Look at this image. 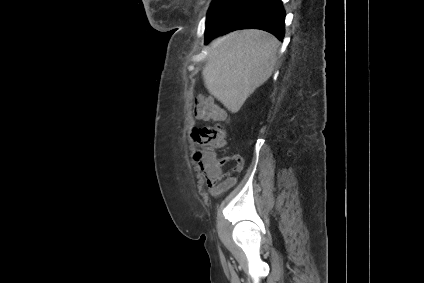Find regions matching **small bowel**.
I'll use <instances>...</instances> for the list:
<instances>
[{
  "mask_svg": "<svg viewBox=\"0 0 424 283\" xmlns=\"http://www.w3.org/2000/svg\"><path fill=\"white\" fill-rule=\"evenodd\" d=\"M230 161H233L235 165L230 171L226 172L224 166ZM243 165L244 159L240 155L218 158L217 164L214 166L203 164L202 177L208 187L209 194L217 197L231 189L236 184Z\"/></svg>",
  "mask_w": 424,
  "mask_h": 283,
  "instance_id": "obj_1",
  "label": "small bowel"
}]
</instances>
